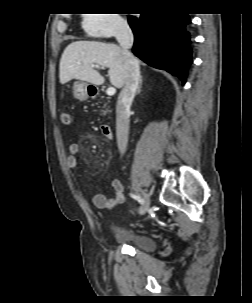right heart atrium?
Here are the masks:
<instances>
[{
    "label": "right heart atrium",
    "instance_id": "d8ad5b80",
    "mask_svg": "<svg viewBox=\"0 0 252 303\" xmlns=\"http://www.w3.org/2000/svg\"><path fill=\"white\" fill-rule=\"evenodd\" d=\"M82 20L83 27L94 37L110 38L127 33V22L118 14H86Z\"/></svg>",
    "mask_w": 252,
    "mask_h": 303
}]
</instances>
